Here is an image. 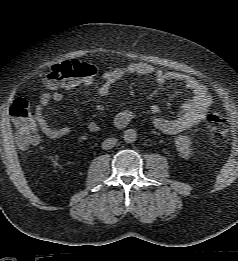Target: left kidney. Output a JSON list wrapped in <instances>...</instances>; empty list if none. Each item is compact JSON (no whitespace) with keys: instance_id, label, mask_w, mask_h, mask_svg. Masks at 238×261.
I'll use <instances>...</instances> for the list:
<instances>
[{"instance_id":"1","label":"left kidney","mask_w":238,"mask_h":261,"mask_svg":"<svg viewBox=\"0 0 238 261\" xmlns=\"http://www.w3.org/2000/svg\"><path fill=\"white\" fill-rule=\"evenodd\" d=\"M191 140L187 136H178L175 138V146L182 158L187 159L192 154Z\"/></svg>"}]
</instances>
